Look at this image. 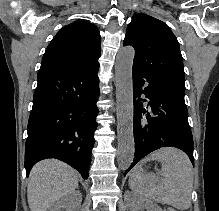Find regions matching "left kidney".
Returning <instances> with one entry per match:
<instances>
[{
  "instance_id": "1",
  "label": "left kidney",
  "mask_w": 219,
  "mask_h": 211,
  "mask_svg": "<svg viewBox=\"0 0 219 211\" xmlns=\"http://www.w3.org/2000/svg\"><path fill=\"white\" fill-rule=\"evenodd\" d=\"M136 209L137 211H143V209H147V211H161V207L157 203H149L148 199H138Z\"/></svg>"
}]
</instances>
